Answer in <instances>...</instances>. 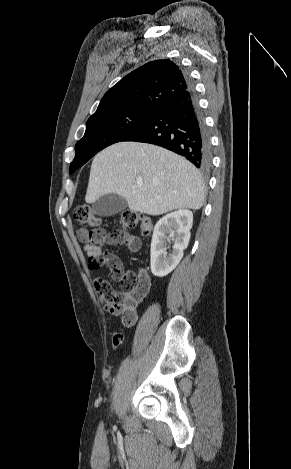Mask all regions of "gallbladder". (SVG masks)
Segmentation results:
<instances>
[{"label": "gallbladder", "instance_id": "gallbladder-1", "mask_svg": "<svg viewBox=\"0 0 291 469\" xmlns=\"http://www.w3.org/2000/svg\"><path fill=\"white\" fill-rule=\"evenodd\" d=\"M126 208V199L115 193L103 195L92 204L93 213L102 217L115 215Z\"/></svg>", "mask_w": 291, "mask_h": 469}]
</instances>
